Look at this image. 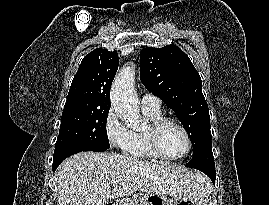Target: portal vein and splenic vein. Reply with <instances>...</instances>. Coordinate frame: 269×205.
<instances>
[{
    "label": "portal vein and splenic vein",
    "instance_id": "1",
    "mask_svg": "<svg viewBox=\"0 0 269 205\" xmlns=\"http://www.w3.org/2000/svg\"><path fill=\"white\" fill-rule=\"evenodd\" d=\"M121 181H122L121 178H114V179L111 180V183H112V184H117V183H119V182H121Z\"/></svg>",
    "mask_w": 269,
    "mask_h": 205
}]
</instances>
